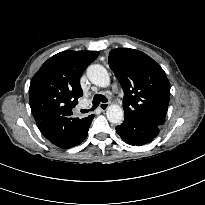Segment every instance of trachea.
Instances as JSON below:
<instances>
[{"label": "trachea", "instance_id": "trachea-1", "mask_svg": "<svg viewBox=\"0 0 205 205\" xmlns=\"http://www.w3.org/2000/svg\"><path fill=\"white\" fill-rule=\"evenodd\" d=\"M100 102H107V98L102 95V94H96L93 98V107L92 110L95 109L96 107H98V105L100 104ZM89 110L86 109H82L81 113H87Z\"/></svg>", "mask_w": 205, "mask_h": 205}]
</instances>
